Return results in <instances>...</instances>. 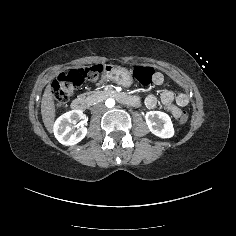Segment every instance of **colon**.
<instances>
[{
  "mask_svg": "<svg viewBox=\"0 0 236 236\" xmlns=\"http://www.w3.org/2000/svg\"><path fill=\"white\" fill-rule=\"evenodd\" d=\"M101 71L100 65H93L59 74L52 84L56 106L64 107L80 85L86 81H96ZM134 76L141 84L147 85L153 81L155 73L150 67H137L134 70ZM179 119L181 123H185L188 120V114L183 112Z\"/></svg>",
  "mask_w": 236,
  "mask_h": 236,
  "instance_id": "1",
  "label": "colon"
}]
</instances>
